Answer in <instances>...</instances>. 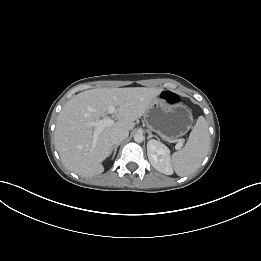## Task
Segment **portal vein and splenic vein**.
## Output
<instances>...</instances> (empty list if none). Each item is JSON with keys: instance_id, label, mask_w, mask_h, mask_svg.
I'll use <instances>...</instances> for the list:
<instances>
[{"instance_id": "obj_1", "label": "portal vein and splenic vein", "mask_w": 261, "mask_h": 261, "mask_svg": "<svg viewBox=\"0 0 261 261\" xmlns=\"http://www.w3.org/2000/svg\"><path fill=\"white\" fill-rule=\"evenodd\" d=\"M108 112L110 115L114 114L115 112V107L114 106H109L108 107ZM114 123L113 119L111 118H104V119H101V120H96L94 122H90L88 123L90 126H93L95 127V130H94V135H93V138H94V144L96 143L97 141V136L98 134L107 126H111L112 124ZM182 147V142L179 141L176 145V149H180Z\"/></svg>"}]
</instances>
